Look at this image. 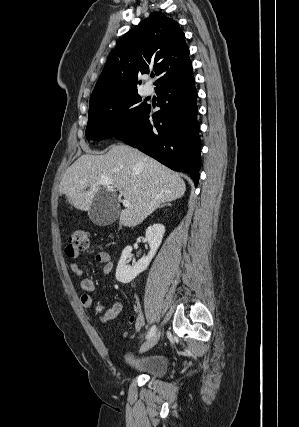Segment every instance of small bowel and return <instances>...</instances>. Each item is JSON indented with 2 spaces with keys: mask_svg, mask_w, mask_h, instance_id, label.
<instances>
[{
  "mask_svg": "<svg viewBox=\"0 0 299 427\" xmlns=\"http://www.w3.org/2000/svg\"><path fill=\"white\" fill-rule=\"evenodd\" d=\"M96 261L101 264L102 271L104 274H109L113 270V263L111 262L110 255L108 253H98L96 255ZM70 269L72 273L76 276H82L84 273L82 265L78 262H72L70 264ZM81 287L86 293L81 295L80 303L83 308L89 309L93 306L94 302L92 296L88 292L94 290L95 283L91 278H84L81 281ZM122 309V302H116L99 317L100 322L106 323L111 320H114L121 313ZM134 327L137 332L141 331V329L143 328V319L139 307L135 308Z\"/></svg>",
  "mask_w": 299,
  "mask_h": 427,
  "instance_id": "1",
  "label": "small bowel"
}]
</instances>
